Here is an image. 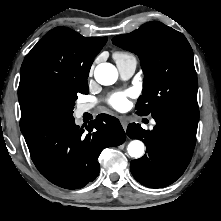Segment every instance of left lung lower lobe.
<instances>
[{
	"instance_id": "0a47b994",
	"label": "left lung lower lobe",
	"mask_w": 221,
	"mask_h": 221,
	"mask_svg": "<svg viewBox=\"0 0 221 221\" xmlns=\"http://www.w3.org/2000/svg\"><path fill=\"white\" fill-rule=\"evenodd\" d=\"M152 117L156 126L152 131L131 123L127 135L140 139L147 153L131 161L134 178L150 188L165 187L175 182L187 168L196 143L198 120L155 111Z\"/></svg>"
}]
</instances>
